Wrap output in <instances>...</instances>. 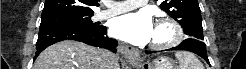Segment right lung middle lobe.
Returning a JSON list of instances; mask_svg holds the SVG:
<instances>
[{
    "label": "right lung middle lobe",
    "mask_w": 246,
    "mask_h": 69,
    "mask_svg": "<svg viewBox=\"0 0 246 69\" xmlns=\"http://www.w3.org/2000/svg\"><path fill=\"white\" fill-rule=\"evenodd\" d=\"M93 14H60L45 16L41 18L40 26L47 25H64V26H77L84 28L98 27L92 22L91 17Z\"/></svg>",
    "instance_id": "dd1d6c3e"
}]
</instances>
